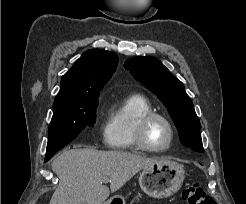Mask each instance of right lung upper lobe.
I'll return each instance as SVG.
<instances>
[{
    "mask_svg": "<svg viewBox=\"0 0 246 204\" xmlns=\"http://www.w3.org/2000/svg\"><path fill=\"white\" fill-rule=\"evenodd\" d=\"M118 56L110 51L92 49L74 63L62 76L61 88L55 102L71 101L99 95L115 72Z\"/></svg>",
    "mask_w": 246,
    "mask_h": 204,
    "instance_id": "cb5924a9",
    "label": "right lung upper lobe"
}]
</instances>
